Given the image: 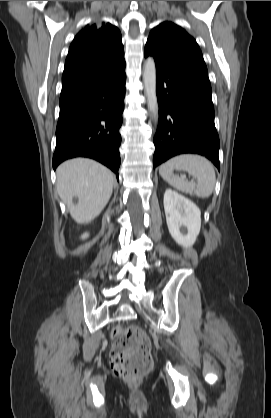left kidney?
<instances>
[{
	"mask_svg": "<svg viewBox=\"0 0 271 418\" xmlns=\"http://www.w3.org/2000/svg\"><path fill=\"white\" fill-rule=\"evenodd\" d=\"M164 210L167 226L173 239L183 247L193 246L201 228L200 209L176 191L166 189Z\"/></svg>",
	"mask_w": 271,
	"mask_h": 418,
	"instance_id": "obj_1",
	"label": "left kidney"
}]
</instances>
